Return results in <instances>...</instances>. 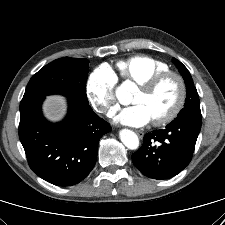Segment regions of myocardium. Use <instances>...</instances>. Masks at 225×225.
Returning <instances> with one entry per match:
<instances>
[{
    "instance_id": "1",
    "label": "myocardium",
    "mask_w": 225,
    "mask_h": 225,
    "mask_svg": "<svg viewBox=\"0 0 225 225\" xmlns=\"http://www.w3.org/2000/svg\"><path fill=\"white\" fill-rule=\"evenodd\" d=\"M172 78L176 81L178 86V94L173 106L161 117L153 119L152 123L155 126H162L177 117L180 111L183 108L185 98H186V84L183 77L174 71H164L154 76L149 77L148 79L142 81L138 84V87L145 92H153L158 88V86L165 80Z\"/></svg>"
}]
</instances>
